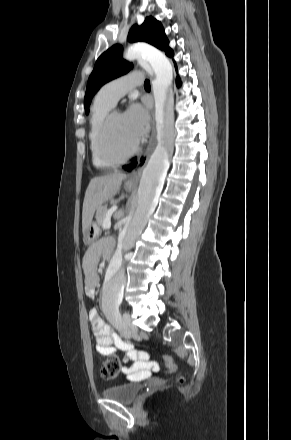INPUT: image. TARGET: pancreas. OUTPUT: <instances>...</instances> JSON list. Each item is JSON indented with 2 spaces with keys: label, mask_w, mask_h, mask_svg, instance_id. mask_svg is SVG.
Masks as SVG:
<instances>
[{
  "label": "pancreas",
  "mask_w": 291,
  "mask_h": 440,
  "mask_svg": "<svg viewBox=\"0 0 291 440\" xmlns=\"http://www.w3.org/2000/svg\"><path fill=\"white\" fill-rule=\"evenodd\" d=\"M106 213H107V206H102L97 210L96 220H97V225L99 227L103 226V222L105 220Z\"/></svg>",
  "instance_id": "cf45deb5"
}]
</instances>
